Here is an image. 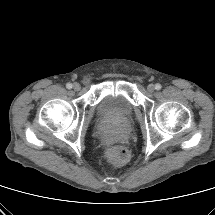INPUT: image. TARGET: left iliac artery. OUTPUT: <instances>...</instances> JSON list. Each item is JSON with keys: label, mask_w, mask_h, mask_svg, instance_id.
<instances>
[{"label": "left iliac artery", "mask_w": 215, "mask_h": 215, "mask_svg": "<svg viewBox=\"0 0 215 215\" xmlns=\"http://www.w3.org/2000/svg\"><path fill=\"white\" fill-rule=\"evenodd\" d=\"M161 87H162V86H161V84H159V83H157V84L155 85V89H156V90H160Z\"/></svg>", "instance_id": "44dca946"}]
</instances>
